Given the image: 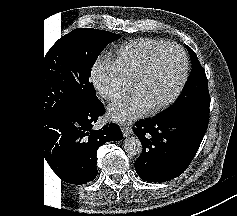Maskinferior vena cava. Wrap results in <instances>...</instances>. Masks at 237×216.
Returning <instances> with one entry per match:
<instances>
[{
    "mask_svg": "<svg viewBox=\"0 0 237 216\" xmlns=\"http://www.w3.org/2000/svg\"><path fill=\"white\" fill-rule=\"evenodd\" d=\"M115 97H116V96H113V95H112L110 98H111V100H113V101H118V100L115 99Z\"/></svg>",
    "mask_w": 237,
    "mask_h": 216,
    "instance_id": "obj_1",
    "label": "inferior vena cava"
}]
</instances>
